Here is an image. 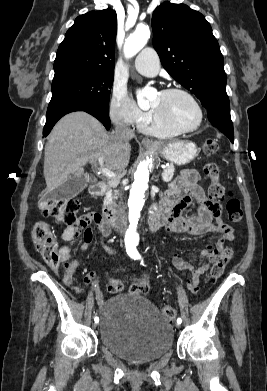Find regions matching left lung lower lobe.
I'll use <instances>...</instances> for the list:
<instances>
[{"instance_id": "1", "label": "left lung lower lobe", "mask_w": 267, "mask_h": 391, "mask_svg": "<svg viewBox=\"0 0 267 391\" xmlns=\"http://www.w3.org/2000/svg\"><path fill=\"white\" fill-rule=\"evenodd\" d=\"M208 111V119L213 126L217 127L230 141L234 142L233 124L230 116L229 104L213 106Z\"/></svg>"}]
</instances>
